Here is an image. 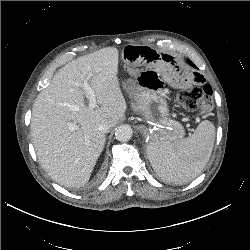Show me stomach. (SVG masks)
<instances>
[{"label":"stomach","instance_id":"1","mask_svg":"<svg viewBox=\"0 0 250 250\" xmlns=\"http://www.w3.org/2000/svg\"><path fill=\"white\" fill-rule=\"evenodd\" d=\"M126 69L134 79L127 82V92L134 111L162 128L152 141L170 142L184 135L182 125L170 118L163 81L150 66L156 62L157 52L147 45H126L122 50Z\"/></svg>","mask_w":250,"mask_h":250}]
</instances>
